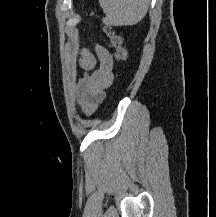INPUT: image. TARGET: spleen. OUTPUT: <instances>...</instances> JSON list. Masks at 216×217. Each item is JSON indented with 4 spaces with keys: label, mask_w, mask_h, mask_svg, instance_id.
I'll list each match as a JSON object with an SVG mask.
<instances>
[{
    "label": "spleen",
    "mask_w": 216,
    "mask_h": 217,
    "mask_svg": "<svg viewBox=\"0 0 216 217\" xmlns=\"http://www.w3.org/2000/svg\"><path fill=\"white\" fill-rule=\"evenodd\" d=\"M99 4L106 25L131 26L146 15L150 0H99Z\"/></svg>",
    "instance_id": "1"
}]
</instances>
